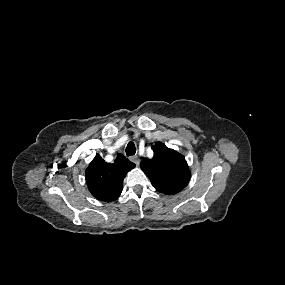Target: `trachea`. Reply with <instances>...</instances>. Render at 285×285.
Returning a JSON list of instances; mask_svg holds the SVG:
<instances>
[{
	"label": "trachea",
	"instance_id": "obj_1",
	"mask_svg": "<svg viewBox=\"0 0 285 285\" xmlns=\"http://www.w3.org/2000/svg\"><path fill=\"white\" fill-rule=\"evenodd\" d=\"M136 153V147L135 144L133 142H129L127 147H126V155L127 156H132Z\"/></svg>",
	"mask_w": 285,
	"mask_h": 285
}]
</instances>
